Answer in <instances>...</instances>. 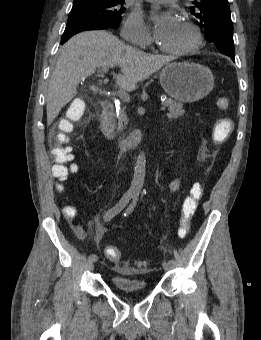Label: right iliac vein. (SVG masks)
Returning a JSON list of instances; mask_svg holds the SVG:
<instances>
[{"label": "right iliac vein", "mask_w": 261, "mask_h": 340, "mask_svg": "<svg viewBox=\"0 0 261 340\" xmlns=\"http://www.w3.org/2000/svg\"><path fill=\"white\" fill-rule=\"evenodd\" d=\"M86 268H87L89 271H92L93 268H94V262L88 260V261L86 262Z\"/></svg>", "instance_id": "right-iliac-vein-1"}]
</instances>
